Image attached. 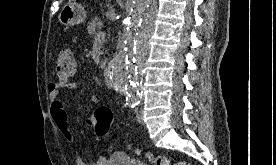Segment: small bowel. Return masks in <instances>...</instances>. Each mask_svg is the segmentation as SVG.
<instances>
[{"instance_id":"1","label":"small bowel","mask_w":276,"mask_h":165,"mask_svg":"<svg viewBox=\"0 0 276 165\" xmlns=\"http://www.w3.org/2000/svg\"><path fill=\"white\" fill-rule=\"evenodd\" d=\"M78 86V83L73 82L70 79H59L57 82L49 83L48 90L51 103V116L68 143L74 148L76 152L77 165H109L113 158L108 159L101 156L91 162H87L76 149L74 136L69 128L68 116L64 107V103L61 99V94L65 89H76Z\"/></svg>"}]
</instances>
